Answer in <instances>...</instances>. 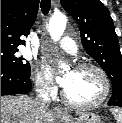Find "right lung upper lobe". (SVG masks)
I'll return each mask as SVG.
<instances>
[{"mask_svg": "<svg viewBox=\"0 0 122 123\" xmlns=\"http://www.w3.org/2000/svg\"><path fill=\"white\" fill-rule=\"evenodd\" d=\"M39 0H1V49H14L36 20Z\"/></svg>", "mask_w": 122, "mask_h": 123, "instance_id": "cb5924a9", "label": "right lung upper lobe"}]
</instances>
